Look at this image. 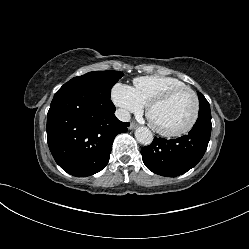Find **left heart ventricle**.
<instances>
[{"instance_id": "b2bd125f", "label": "left heart ventricle", "mask_w": 249, "mask_h": 249, "mask_svg": "<svg viewBox=\"0 0 249 249\" xmlns=\"http://www.w3.org/2000/svg\"><path fill=\"white\" fill-rule=\"evenodd\" d=\"M194 110V99L189 92H181L152 111L153 122L166 131H176L188 124Z\"/></svg>"}]
</instances>
